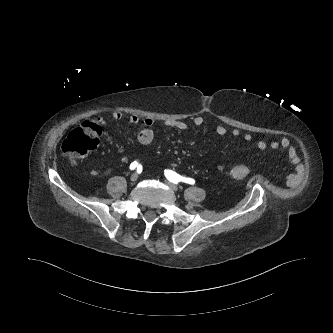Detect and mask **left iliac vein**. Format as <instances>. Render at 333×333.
<instances>
[{"instance_id": "obj_1", "label": "left iliac vein", "mask_w": 333, "mask_h": 333, "mask_svg": "<svg viewBox=\"0 0 333 333\" xmlns=\"http://www.w3.org/2000/svg\"><path fill=\"white\" fill-rule=\"evenodd\" d=\"M166 184L170 187L171 190H173L174 192H177L178 191V187L171 183L170 181H166Z\"/></svg>"}]
</instances>
